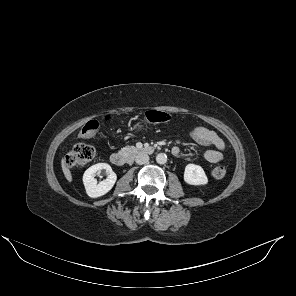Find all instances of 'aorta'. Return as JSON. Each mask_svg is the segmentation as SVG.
<instances>
[{
	"mask_svg": "<svg viewBox=\"0 0 296 296\" xmlns=\"http://www.w3.org/2000/svg\"><path fill=\"white\" fill-rule=\"evenodd\" d=\"M156 162L158 164H165L167 162V155L164 153H159L156 156Z\"/></svg>",
	"mask_w": 296,
	"mask_h": 296,
	"instance_id": "762f6f07",
	"label": "aorta"
}]
</instances>
